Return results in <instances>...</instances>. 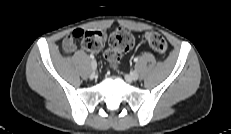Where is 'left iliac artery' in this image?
Wrapping results in <instances>:
<instances>
[{
  "instance_id": "44dca946",
  "label": "left iliac artery",
  "mask_w": 231,
  "mask_h": 134,
  "mask_svg": "<svg viewBox=\"0 0 231 134\" xmlns=\"http://www.w3.org/2000/svg\"><path fill=\"white\" fill-rule=\"evenodd\" d=\"M134 62H138V58L136 57V58H134Z\"/></svg>"
}]
</instances>
